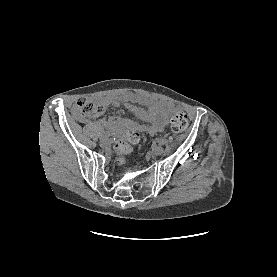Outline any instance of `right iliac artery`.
Segmentation results:
<instances>
[{
    "mask_svg": "<svg viewBox=\"0 0 277 277\" xmlns=\"http://www.w3.org/2000/svg\"><path fill=\"white\" fill-rule=\"evenodd\" d=\"M110 135H111V133H110L109 131L104 132V133L101 135V139L108 138Z\"/></svg>",
    "mask_w": 277,
    "mask_h": 277,
    "instance_id": "obj_1",
    "label": "right iliac artery"
}]
</instances>
